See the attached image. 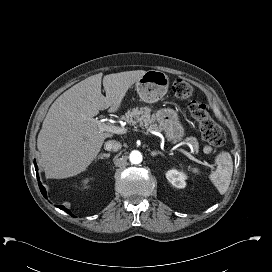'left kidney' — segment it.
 <instances>
[{
    "label": "left kidney",
    "instance_id": "obj_1",
    "mask_svg": "<svg viewBox=\"0 0 272 272\" xmlns=\"http://www.w3.org/2000/svg\"><path fill=\"white\" fill-rule=\"evenodd\" d=\"M186 175L183 172H179L176 169L167 171L166 178L176 188H184L186 186Z\"/></svg>",
    "mask_w": 272,
    "mask_h": 272
}]
</instances>
